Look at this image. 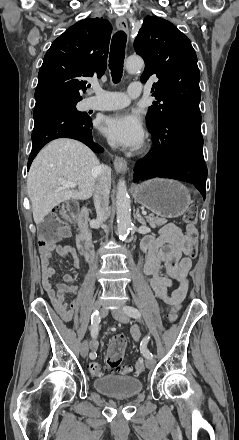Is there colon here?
Returning a JSON list of instances; mask_svg holds the SVG:
<instances>
[{"label": "colon", "instance_id": "colon-1", "mask_svg": "<svg viewBox=\"0 0 239 440\" xmlns=\"http://www.w3.org/2000/svg\"><path fill=\"white\" fill-rule=\"evenodd\" d=\"M77 213V204L74 202H68L66 204L60 205L52 210V213L47 216L44 222L40 226L39 230V245L40 247H47L54 242H56L63 234L64 225L60 219V216L70 219ZM198 210L196 205H191L187 208L184 213L183 220L186 224V233L190 240L193 242V247L191 248L190 254L192 257L196 256V239H197V229L195 223L197 221ZM170 322H175L177 315L172 311L168 315ZM127 345V340L123 335L115 336L106 352V364L110 370H116L123 374L131 372L130 366H122V360L124 357L125 349ZM89 371L92 375H101L102 368L99 363L91 362L89 364ZM145 371V364L142 360L137 361L135 364V372L137 375L142 374Z\"/></svg>", "mask_w": 239, "mask_h": 440}]
</instances>
